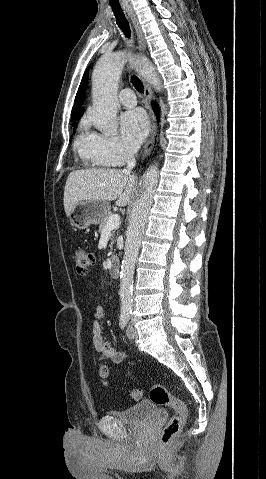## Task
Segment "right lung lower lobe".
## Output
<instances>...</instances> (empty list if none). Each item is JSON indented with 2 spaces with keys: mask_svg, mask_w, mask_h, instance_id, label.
<instances>
[{
  "mask_svg": "<svg viewBox=\"0 0 266 479\" xmlns=\"http://www.w3.org/2000/svg\"><path fill=\"white\" fill-rule=\"evenodd\" d=\"M153 109H154V111H155V113H156V116L159 117V107H158V105H157V104H153Z\"/></svg>",
  "mask_w": 266,
  "mask_h": 479,
  "instance_id": "1",
  "label": "right lung lower lobe"
}]
</instances>
